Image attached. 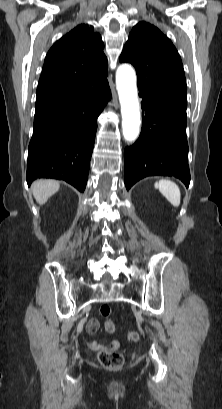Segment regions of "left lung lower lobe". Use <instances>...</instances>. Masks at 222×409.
Segmentation results:
<instances>
[{
    "label": "left lung lower lobe",
    "instance_id": "0a47b994",
    "mask_svg": "<svg viewBox=\"0 0 222 409\" xmlns=\"http://www.w3.org/2000/svg\"><path fill=\"white\" fill-rule=\"evenodd\" d=\"M142 131L124 151V179L127 190L146 176L164 175L181 179L188 187L187 101L167 100L140 93Z\"/></svg>",
    "mask_w": 222,
    "mask_h": 409
}]
</instances>
